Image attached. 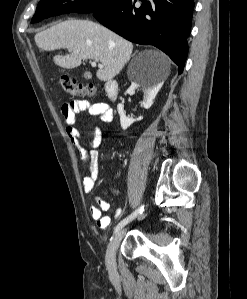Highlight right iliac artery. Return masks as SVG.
<instances>
[{"mask_svg":"<svg viewBox=\"0 0 247 299\" xmlns=\"http://www.w3.org/2000/svg\"><path fill=\"white\" fill-rule=\"evenodd\" d=\"M144 209V206L139 207L137 210H135L132 214H130L128 217L123 219L114 229V233H117L120 229H122L126 224H128L130 221H132L135 217H137L138 214L142 213Z\"/></svg>","mask_w":247,"mask_h":299,"instance_id":"right-iliac-artery-1","label":"right iliac artery"}]
</instances>
